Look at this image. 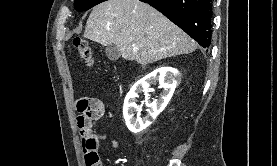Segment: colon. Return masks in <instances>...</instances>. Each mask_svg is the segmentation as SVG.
<instances>
[{
    "label": "colon",
    "mask_w": 277,
    "mask_h": 166,
    "mask_svg": "<svg viewBox=\"0 0 277 166\" xmlns=\"http://www.w3.org/2000/svg\"><path fill=\"white\" fill-rule=\"evenodd\" d=\"M74 45L79 51L85 63L88 66H91L94 63V59H93V53L89 44L85 40L78 38L74 41ZM80 129L83 135H87V136L92 135L91 125L85 124ZM89 160L91 165L93 166H104L103 161L100 159L98 155H92Z\"/></svg>",
    "instance_id": "colon-1"
}]
</instances>
